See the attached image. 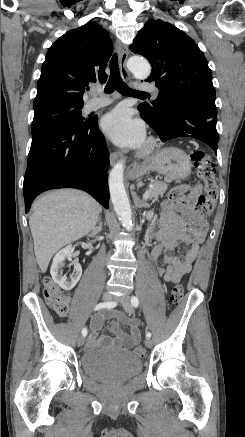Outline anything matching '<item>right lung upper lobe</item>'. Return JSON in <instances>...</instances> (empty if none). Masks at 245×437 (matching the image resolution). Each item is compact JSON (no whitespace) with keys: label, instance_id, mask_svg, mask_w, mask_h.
Here are the masks:
<instances>
[{"label":"right lung upper lobe","instance_id":"right-lung-upper-lobe-1","mask_svg":"<svg viewBox=\"0 0 245 437\" xmlns=\"http://www.w3.org/2000/svg\"><path fill=\"white\" fill-rule=\"evenodd\" d=\"M112 51L108 32L96 22L66 32L48 49L33 107L83 105L87 86L97 80L106 81L105 68Z\"/></svg>","mask_w":245,"mask_h":437}]
</instances>
